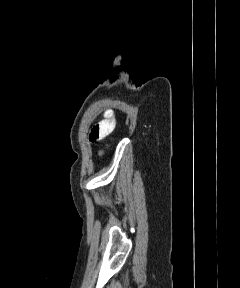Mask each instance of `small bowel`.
Masks as SVG:
<instances>
[{"label":"small bowel","mask_w":240,"mask_h":288,"mask_svg":"<svg viewBox=\"0 0 240 288\" xmlns=\"http://www.w3.org/2000/svg\"><path fill=\"white\" fill-rule=\"evenodd\" d=\"M115 119L112 111L105 112L104 119L97 123L90 132V140H101L109 135L115 128Z\"/></svg>","instance_id":"obj_1"}]
</instances>
